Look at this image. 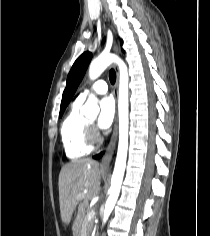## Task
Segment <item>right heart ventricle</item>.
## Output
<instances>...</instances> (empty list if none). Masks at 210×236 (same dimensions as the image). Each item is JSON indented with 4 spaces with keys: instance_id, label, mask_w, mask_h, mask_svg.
Listing matches in <instances>:
<instances>
[{
    "instance_id": "e07e8e85",
    "label": "right heart ventricle",
    "mask_w": 210,
    "mask_h": 236,
    "mask_svg": "<svg viewBox=\"0 0 210 236\" xmlns=\"http://www.w3.org/2000/svg\"><path fill=\"white\" fill-rule=\"evenodd\" d=\"M82 102L76 99L61 127V141L66 156L75 160L88 155L92 146L87 142V120L81 115Z\"/></svg>"
}]
</instances>
